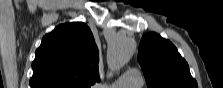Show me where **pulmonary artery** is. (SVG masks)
<instances>
[{"mask_svg": "<svg viewBox=\"0 0 223 88\" xmlns=\"http://www.w3.org/2000/svg\"><path fill=\"white\" fill-rule=\"evenodd\" d=\"M143 85V77L139 70L130 69L112 85L105 88H137Z\"/></svg>", "mask_w": 223, "mask_h": 88, "instance_id": "1", "label": "pulmonary artery"}]
</instances>
